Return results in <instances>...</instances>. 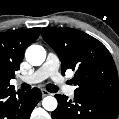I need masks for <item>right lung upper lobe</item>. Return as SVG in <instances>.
Wrapping results in <instances>:
<instances>
[{
    "label": "right lung upper lobe",
    "mask_w": 119,
    "mask_h": 119,
    "mask_svg": "<svg viewBox=\"0 0 119 119\" xmlns=\"http://www.w3.org/2000/svg\"><path fill=\"white\" fill-rule=\"evenodd\" d=\"M40 34V28L19 29L0 33V94L13 91L9 81L20 69L24 51Z\"/></svg>",
    "instance_id": "cb5924a9"
}]
</instances>
